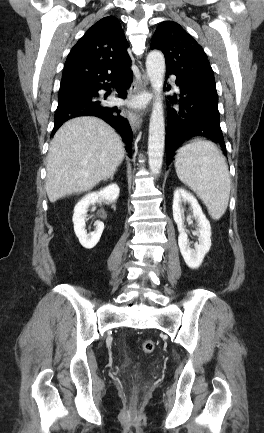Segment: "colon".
I'll use <instances>...</instances> for the list:
<instances>
[{
  "mask_svg": "<svg viewBox=\"0 0 264 433\" xmlns=\"http://www.w3.org/2000/svg\"><path fill=\"white\" fill-rule=\"evenodd\" d=\"M141 348L144 353L150 354L155 349V343L151 339H145L142 341Z\"/></svg>",
  "mask_w": 264,
  "mask_h": 433,
  "instance_id": "colon-1",
  "label": "colon"
}]
</instances>
